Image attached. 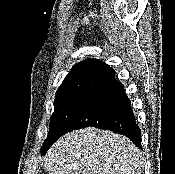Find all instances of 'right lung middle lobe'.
<instances>
[{"mask_svg": "<svg viewBox=\"0 0 175 174\" xmlns=\"http://www.w3.org/2000/svg\"><path fill=\"white\" fill-rule=\"evenodd\" d=\"M89 93H69L55 97L54 112L50 119L48 136L42 148L52 145L65 133L67 126Z\"/></svg>", "mask_w": 175, "mask_h": 174, "instance_id": "obj_1", "label": "right lung middle lobe"}]
</instances>
